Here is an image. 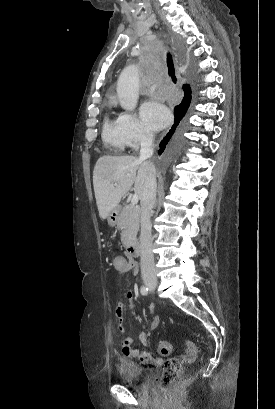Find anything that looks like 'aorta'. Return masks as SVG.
<instances>
[{
  "instance_id": "aorta-1",
  "label": "aorta",
  "mask_w": 275,
  "mask_h": 409,
  "mask_svg": "<svg viewBox=\"0 0 275 409\" xmlns=\"http://www.w3.org/2000/svg\"><path fill=\"white\" fill-rule=\"evenodd\" d=\"M117 96L120 106L125 110L136 108L139 98V76L135 64L123 68L117 80Z\"/></svg>"
}]
</instances>
